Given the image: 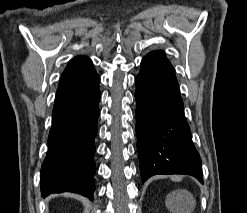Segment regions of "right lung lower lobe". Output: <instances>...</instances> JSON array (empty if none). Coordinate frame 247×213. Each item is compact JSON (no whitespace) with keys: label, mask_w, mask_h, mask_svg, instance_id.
I'll return each mask as SVG.
<instances>
[{"label":"right lung lower lobe","mask_w":247,"mask_h":213,"mask_svg":"<svg viewBox=\"0 0 247 213\" xmlns=\"http://www.w3.org/2000/svg\"><path fill=\"white\" fill-rule=\"evenodd\" d=\"M99 81L92 66L61 76L52 112L48 152L41 167L43 196L70 191L92 199Z\"/></svg>","instance_id":"1"}]
</instances>
